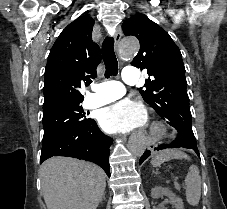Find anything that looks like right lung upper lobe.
<instances>
[{"label":"right lung upper lobe","mask_w":227,"mask_h":209,"mask_svg":"<svg viewBox=\"0 0 227 209\" xmlns=\"http://www.w3.org/2000/svg\"><path fill=\"white\" fill-rule=\"evenodd\" d=\"M93 25L91 17L80 16L55 41L45 68L44 104L84 99L80 88L97 76L101 62L100 47L92 40Z\"/></svg>","instance_id":"1"}]
</instances>
